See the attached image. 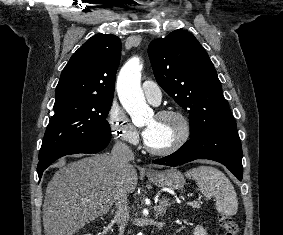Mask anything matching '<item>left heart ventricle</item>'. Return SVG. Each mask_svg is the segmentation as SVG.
<instances>
[{
    "mask_svg": "<svg viewBox=\"0 0 283 235\" xmlns=\"http://www.w3.org/2000/svg\"><path fill=\"white\" fill-rule=\"evenodd\" d=\"M153 128L151 136L147 142L154 148H165L171 145L180 133V123L174 118L150 117L144 124V127Z\"/></svg>",
    "mask_w": 283,
    "mask_h": 235,
    "instance_id": "left-heart-ventricle-1",
    "label": "left heart ventricle"
}]
</instances>
